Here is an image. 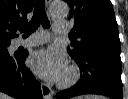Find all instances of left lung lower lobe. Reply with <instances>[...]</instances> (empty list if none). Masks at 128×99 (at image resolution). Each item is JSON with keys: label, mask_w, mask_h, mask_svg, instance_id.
<instances>
[{"label": "left lung lower lobe", "mask_w": 128, "mask_h": 99, "mask_svg": "<svg viewBox=\"0 0 128 99\" xmlns=\"http://www.w3.org/2000/svg\"><path fill=\"white\" fill-rule=\"evenodd\" d=\"M81 78L76 85L56 95L68 99L82 94H100L113 99H123L120 48L98 46L74 59Z\"/></svg>", "instance_id": "obj_1"}]
</instances>
